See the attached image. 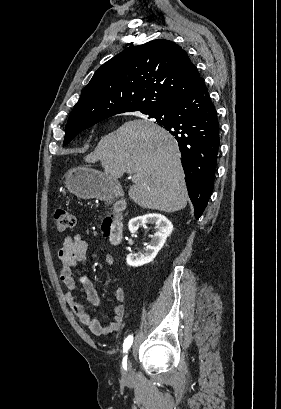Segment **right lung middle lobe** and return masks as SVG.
<instances>
[{
	"instance_id": "obj_1",
	"label": "right lung middle lobe",
	"mask_w": 281,
	"mask_h": 409,
	"mask_svg": "<svg viewBox=\"0 0 281 409\" xmlns=\"http://www.w3.org/2000/svg\"><path fill=\"white\" fill-rule=\"evenodd\" d=\"M144 114H148V113H144ZM152 118V117H151ZM157 122H159V120H156ZM94 125V124H92ZM92 125H88V126H81V127H67L65 129V139H64V143L63 145H67L69 142H71V140L81 131L87 129L88 127L92 126Z\"/></svg>"
}]
</instances>
